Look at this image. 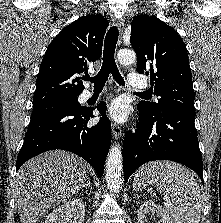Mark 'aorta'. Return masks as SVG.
I'll use <instances>...</instances> for the list:
<instances>
[{"label":"aorta","instance_id":"1","mask_svg":"<svg viewBox=\"0 0 221 223\" xmlns=\"http://www.w3.org/2000/svg\"><path fill=\"white\" fill-rule=\"evenodd\" d=\"M120 64L129 65L136 61V54L132 50L123 49L117 54ZM106 182L108 189L119 193L122 185V152L119 145H112L106 160Z\"/></svg>","mask_w":221,"mask_h":223}]
</instances>
